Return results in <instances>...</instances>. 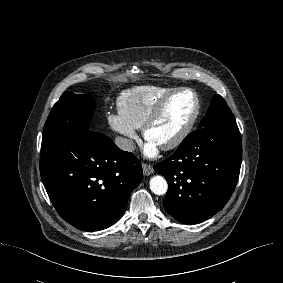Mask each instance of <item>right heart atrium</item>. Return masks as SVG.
Segmentation results:
<instances>
[{"label":"right heart atrium","instance_id":"1","mask_svg":"<svg viewBox=\"0 0 283 283\" xmlns=\"http://www.w3.org/2000/svg\"><path fill=\"white\" fill-rule=\"evenodd\" d=\"M107 119L111 128L122 136L123 147L130 150L137 138L136 128L129 124L119 111L108 113Z\"/></svg>","mask_w":283,"mask_h":283}]
</instances>
